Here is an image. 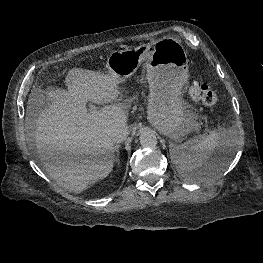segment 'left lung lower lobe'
Returning a JSON list of instances; mask_svg holds the SVG:
<instances>
[{
    "label": "left lung lower lobe",
    "instance_id": "0a47b994",
    "mask_svg": "<svg viewBox=\"0 0 263 263\" xmlns=\"http://www.w3.org/2000/svg\"><path fill=\"white\" fill-rule=\"evenodd\" d=\"M218 164H219V162H216V161L212 162L207 167H205L203 170H201L200 172L204 175L212 174L216 171Z\"/></svg>",
    "mask_w": 263,
    "mask_h": 263
}]
</instances>
